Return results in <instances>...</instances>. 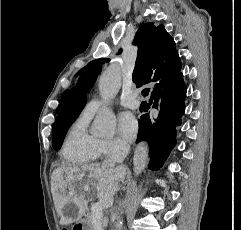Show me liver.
<instances>
[{"label": "liver", "mask_w": 241, "mask_h": 230, "mask_svg": "<svg viewBox=\"0 0 241 230\" xmlns=\"http://www.w3.org/2000/svg\"><path fill=\"white\" fill-rule=\"evenodd\" d=\"M125 173L123 166L115 168L96 163L81 167L57 168L52 175V192L60 223L69 225L82 218L87 209L86 193L90 192V186H96L97 195L101 200L112 203L119 182L124 180ZM69 203L78 208L76 218L65 214Z\"/></svg>", "instance_id": "6515ba94"}]
</instances>
